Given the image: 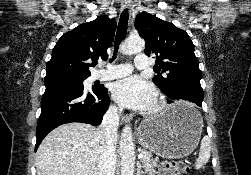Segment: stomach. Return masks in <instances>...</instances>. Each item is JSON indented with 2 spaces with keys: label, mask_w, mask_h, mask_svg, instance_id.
<instances>
[{
  "label": "stomach",
  "mask_w": 251,
  "mask_h": 175,
  "mask_svg": "<svg viewBox=\"0 0 251 175\" xmlns=\"http://www.w3.org/2000/svg\"><path fill=\"white\" fill-rule=\"evenodd\" d=\"M203 119L196 107L173 103L159 117L141 121L136 133L138 143L163 157H187L197 147Z\"/></svg>",
  "instance_id": "0dacf381"
}]
</instances>
